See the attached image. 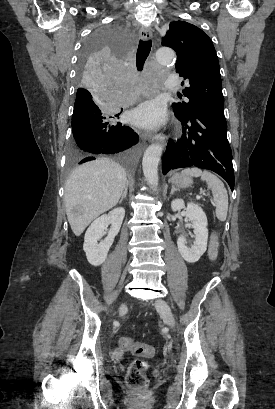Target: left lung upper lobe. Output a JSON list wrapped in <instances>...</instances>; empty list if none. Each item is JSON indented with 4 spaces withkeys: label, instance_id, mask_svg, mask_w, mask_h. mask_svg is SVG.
I'll return each instance as SVG.
<instances>
[{
    "label": "left lung upper lobe",
    "instance_id": "5c2ea615",
    "mask_svg": "<svg viewBox=\"0 0 275 409\" xmlns=\"http://www.w3.org/2000/svg\"><path fill=\"white\" fill-rule=\"evenodd\" d=\"M162 45L176 51V72L190 84L183 91L189 102L172 104L175 115L186 118L202 110L224 113L219 61L211 39L190 23L174 21Z\"/></svg>",
    "mask_w": 275,
    "mask_h": 409
}]
</instances>
